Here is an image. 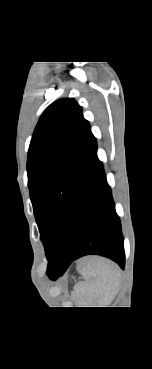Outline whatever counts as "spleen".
<instances>
[{
	"mask_svg": "<svg viewBox=\"0 0 152 369\" xmlns=\"http://www.w3.org/2000/svg\"><path fill=\"white\" fill-rule=\"evenodd\" d=\"M85 282L79 283L75 290L78 305L81 307H105L112 302L117 293L119 269L113 262L93 257L82 272ZM98 305V306H88Z\"/></svg>",
	"mask_w": 152,
	"mask_h": 369,
	"instance_id": "1",
	"label": "spleen"
}]
</instances>
